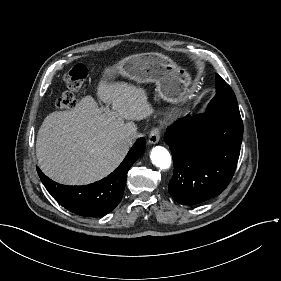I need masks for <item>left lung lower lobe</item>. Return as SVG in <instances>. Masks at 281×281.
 <instances>
[{"mask_svg": "<svg viewBox=\"0 0 281 281\" xmlns=\"http://www.w3.org/2000/svg\"><path fill=\"white\" fill-rule=\"evenodd\" d=\"M243 122L237 106H208L202 115H187L165 136L174 173L168 186L172 198L196 205L219 195L231 181L238 162Z\"/></svg>", "mask_w": 281, "mask_h": 281, "instance_id": "0a47b994", "label": "left lung lower lobe"}]
</instances>
